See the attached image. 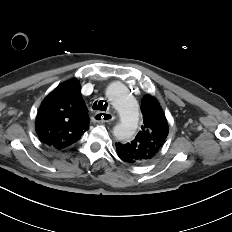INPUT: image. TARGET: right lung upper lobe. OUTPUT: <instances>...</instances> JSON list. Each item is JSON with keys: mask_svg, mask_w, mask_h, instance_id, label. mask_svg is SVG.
Instances as JSON below:
<instances>
[{"mask_svg": "<svg viewBox=\"0 0 232 232\" xmlns=\"http://www.w3.org/2000/svg\"><path fill=\"white\" fill-rule=\"evenodd\" d=\"M40 141L61 150L77 142L89 129L88 110L76 79L55 88L41 103L36 116Z\"/></svg>", "mask_w": 232, "mask_h": 232, "instance_id": "right-lung-upper-lobe-1", "label": "right lung upper lobe"}]
</instances>
